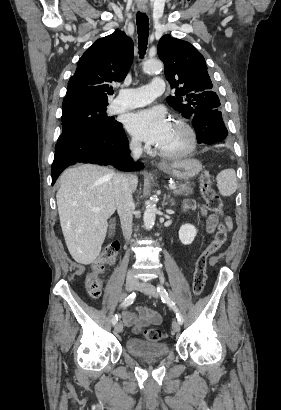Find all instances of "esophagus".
<instances>
[{
  "label": "esophagus",
  "instance_id": "1",
  "mask_svg": "<svg viewBox=\"0 0 281 410\" xmlns=\"http://www.w3.org/2000/svg\"><path fill=\"white\" fill-rule=\"evenodd\" d=\"M141 11H142V12H146V10H144V9H142ZM165 165H166L165 162H158V163H157V166H158V167H162V166H165Z\"/></svg>",
  "mask_w": 281,
  "mask_h": 410
}]
</instances>
